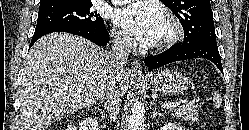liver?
<instances>
[{"instance_id": "6515ba94", "label": "liver", "mask_w": 249, "mask_h": 130, "mask_svg": "<svg viewBox=\"0 0 249 130\" xmlns=\"http://www.w3.org/2000/svg\"><path fill=\"white\" fill-rule=\"evenodd\" d=\"M114 76L109 53L85 38L58 32L40 38L24 66L20 130H47L65 113L95 104ZM128 82L124 70L116 79L120 97Z\"/></svg>"}]
</instances>
